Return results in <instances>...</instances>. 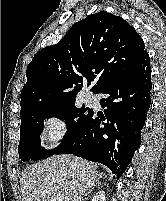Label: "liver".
Returning a JSON list of instances; mask_svg holds the SVG:
<instances>
[{
    "label": "liver",
    "mask_w": 166,
    "mask_h": 201,
    "mask_svg": "<svg viewBox=\"0 0 166 201\" xmlns=\"http://www.w3.org/2000/svg\"><path fill=\"white\" fill-rule=\"evenodd\" d=\"M96 168V164L65 154L32 164L20 181L22 201H81L99 178Z\"/></svg>",
    "instance_id": "liver-1"
}]
</instances>
